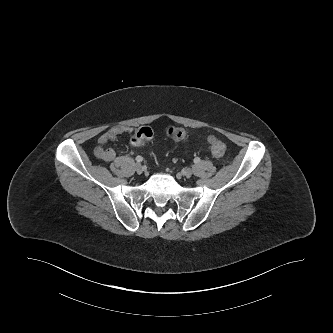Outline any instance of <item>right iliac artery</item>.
Returning a JSON list of instances; mask_svg holds the SVG:
<instances>
[{
  "mask_svg": "<svg viewBox=\"0 0 333 333\" xmlns=\"http://www.w3.org/2000/svg\"><path fill=\"white\" fill-rule=\"evenodd\" d=\"M136 161H137V162H142V161H143V157H141V156H137V157H136Z\"/></svg>",
  "mask_w": 333,
  "mask_h": 333,
  "instance_id": "right-iliac-artery-1",
  "label": "right iliac artery"
}]
</instances>
